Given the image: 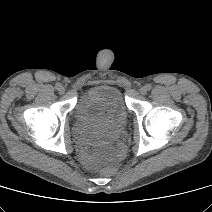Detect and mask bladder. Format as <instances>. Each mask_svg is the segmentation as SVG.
I'll use <instances>...</instances> for the list:
<instances>
[{"instance_id": "bladder-1", "label": "bladder", "mask_w": 212, "mask_h": 212, "mask_svg": "<svg viewBox=\"0 0 212 212\" xmlns=\"http://www.w3.org/2000/svg\"><path fill=\"white\" fill-rule=\"evenodd\" d=\"M101 118L105 129L96 126ZM128 122V111L121 92L112 86H95L81 93L72 111L75 139L83 144L99 142L121 134Z\"/></svg>"}]
</instances>
